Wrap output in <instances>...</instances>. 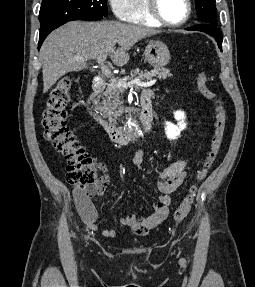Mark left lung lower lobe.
<instances>
[{
    "instance_id": "1",
    "label": "left lung lower lobe",
    "mask_w": 255,
    "mask_h": 287,
    "mask_svg": "<svg viewBox=\"0 0 255 287\" xmlns=\"http://www.w3.org/2000/svg\"><path fill=\"white\" fill-rule=\"evenodd\" d=\"M217 25L213 24H203V25H196L190 28H186V30H192V31H202L205 33H208L209 35L213 36L217 43L219 48L221 49L222 47V33L219 31L218 28H216Z\"/></svg>"
}]
</instances>
